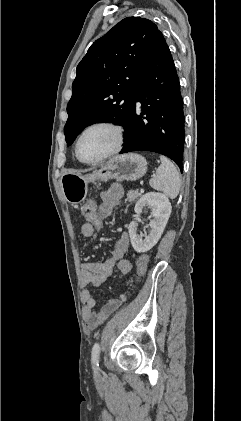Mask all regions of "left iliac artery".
<instances>
[{
    "instance_id": "left-iliac-artery-1",
    "label": "left iliac artery",
    "mask_w": 241,
    "mask_h": 421,
    "mask_svg": "<svg viewBox=\"0 0 241 421\" xmlns=\"http://www.w3.org/2000/svg\"><path fill=\"white\" fill-rule=\"evenodd\" d=\"M99 357H100V345L99 343H95L92 348L91 352V361L95 368L99 366Z\"/></svg>"
}]
</instances>
